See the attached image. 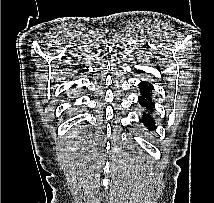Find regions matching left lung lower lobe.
<instances>
[{
    "mask_svg": "<svg viewBox=\"0 0 214 203\" xmlns=\"http://www.w3.org/2000/svg\"><path fill=\"white\" fill-rule=\"evenodd\" d=\"M139 87L141 90L142 95L138 98L141 101V105L143 107H146V109H148L149 111H153V108L155 106V103L152 102V98H151V91H152V86L148 85L147 82H141L139 83ZM140 122H143L144 125L146 127H148L149 130H152V127L155 124L154 119L147 113V114H143L142 119L140 120Z\"/></svg>",
    "mask_w": 214,
    "mask_h": 203,
    "instance_id": "left-lung-lower-lobe-1",
    "label": "left lung lower lobe"
}]
</instances>
